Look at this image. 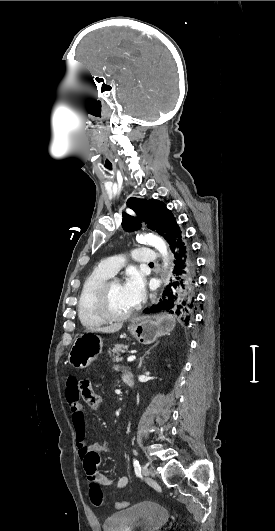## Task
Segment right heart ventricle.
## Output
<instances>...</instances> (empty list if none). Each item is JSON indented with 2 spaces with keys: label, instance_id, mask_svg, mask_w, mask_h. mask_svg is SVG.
Instances as JSON below:
<instances>
[{
  "label": "right heart ventricle",
  "instance_id": "e07e8e85",
  "mask_svg": "<svg viewBox=\"0 0 275 531\" xmlns=\"http://www.w3.org/2000/svg\"><path fill=\"white\" fill-rule=\"evenodd\" d=\"M110 276L111 274L104 270H97L89 275L82 284L77 301V313L80 322L87 328L98 327L106 322L96 312L94 298L101 283Z\"/></svg>",
  "mask_w": 275,
  "mask_h": 531
}]
</instances>
